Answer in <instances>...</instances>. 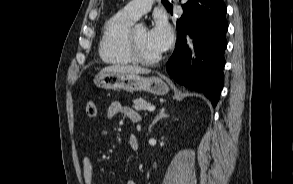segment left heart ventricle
Returning a JSON list of instances; mask_svg holds the SVG:
<instances>
[{
  "label": "left heart ventricle",
  "mask_w": 293,
  "mask_h": 184,
  "mask_svg": "<svg viewBox=\"0 0 293 184\" xmlns=\"http://www.w3.org/2000/svg\"><path fill=\"white\" fill-rule=\"evenodd\" d=\"M135 40L140 54L145 58H153L158 56L160 53L152 46L148 39V30L139 26L135 28Z\"/></svg>",
  "instance_id": "obj_1"
}]
</instances>
